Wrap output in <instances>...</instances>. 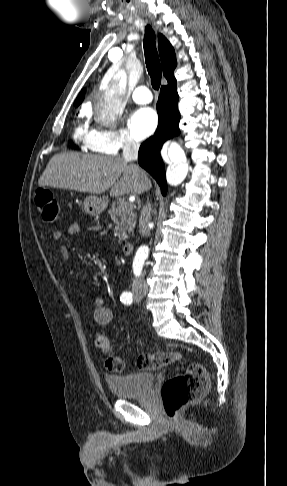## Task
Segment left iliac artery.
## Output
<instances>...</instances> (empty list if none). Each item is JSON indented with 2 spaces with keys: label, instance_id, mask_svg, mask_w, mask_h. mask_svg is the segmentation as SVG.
Masks as SVG:
<instances>
[{
  "label": "left iliac artery",
  "instance_id": "1",
  "mask_svg": "<svg viewBox=\"0 0 287 486\" xmlns=\"http://www.w3.org/2000/svg\"><path fill=\"white\" fill-rule=\"evenodd\" d=\"M120 300H121V298H120ZM121 302L128 305V304H131L132 303V300L123 299V300H121Z\"/></svg>",
  "mask_w": 287,
  "mask_h": 486
}]
</instances>
